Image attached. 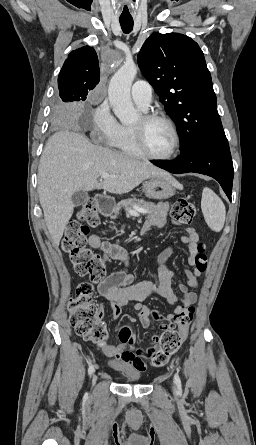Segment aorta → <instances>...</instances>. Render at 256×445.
<instances>
[{"instance_id": "762f6f07", "label": "aorta", "mask_w": 256, "mask_h": 445, "mask_svg": "<svg viewBox=\"0 0 256 445\" xmlns=\"http://www.w3.org/2000/svg\"><path fill=\"white\" fill-rule=\"evenodd\" d=\"M137 74V66L133 62H126L114 74L109 83L108 96L114 114L122 123H133L138 119V112L134 108L130 89Z\"/></svg>"}]
</instances>
